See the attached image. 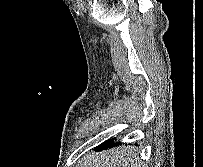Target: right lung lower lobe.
<instances>
[{"mask_svg":"<svg viewBox=\"0 0 203 167\" xmlns=\"http://www.w3.org/2000/svg\"><path fill=\"white\" fill-rule=\"evenodd\" d=\"M113 143H114V138H113V139H110V140H108V141H106V142H104V143H102L101 145H99V146L97 147V150L106 149V148L112 146Z\"/></svg>","mask_w":203,"mask_h":167,"instance_id":"right-lung-lower-lobe-1","label":"right lung lower lobe"}]
</instances>
